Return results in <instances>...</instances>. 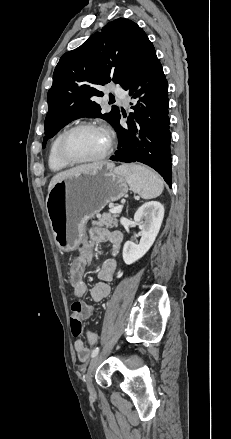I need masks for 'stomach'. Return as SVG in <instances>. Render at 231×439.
Wrapping results in <instances>:
<instances>
[{
  "instance_id": "stomach-1",
  "label": "stomach",
  "mask_w": 231,
  "mask_h": 439,
  "mask_svg": "<svg viewBox=\"0 0 231 439\" xmlns=\"http://www.w3.org/2000/svg\"><path fill=\"white\" fill-rule=\"evenodd\" d=\"M128 190L125 177L109 162L56 183L47 195L46 210L58 248L75 250L87 221Z\"/></svg>"
}]
</instances>
